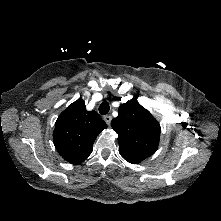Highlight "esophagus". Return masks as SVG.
Returning <instances> with one entry per match:
<instances>
[{
  "instance_id": "1",
  "label": "esophagus",
  "mask_w": 221,
  "mask_h": 221,
  "mask_svg": "<svg viewBox=\"0 0 221 221\" xmlns=\"http://www.w3.org/2000/svg\"><path fill=\"white\" fill-rule=\"evenodd\" d=\"M104 121L106 122V124H110L111 120H112V116L111 115H106L103 117Z\"/></svg>"
}]
</instances>
